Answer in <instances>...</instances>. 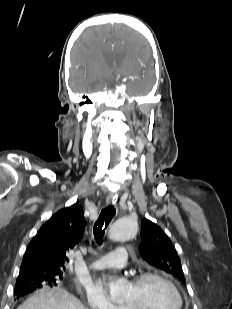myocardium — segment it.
Instances as JSON below:
<instances>
[{
  "mask_svg": "<svg viewBox=\"0 0 232 309\" xmlns=\"http://www.w3.org/2000/svg\"><path fill=\"white\" fill-rule=\"evenodd\" d=\"M150 279H159L162 282L166 283L171 290L173 291V293L175 294L176 298H177V306L175 307V309H182L183 308V296L178 288V286L165 274L159 272V271H144L141 272L137 275H135L132 280L131 283L134 285H140L142 283H144L147 280ZM123 309H137L135 307H132L130 305L127 304H123L122 305Z\"/></svg>",
  "mask_w": 232,
  "mask_h": 309,
  "instance_id": "myocardium-1",
  "label": "myocardium"
}]
</instances>
